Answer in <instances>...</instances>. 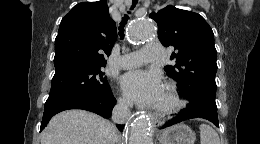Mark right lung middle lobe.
Masks as SVG:
<instances>
[{
	"label": "right lung middle lobe",
	"instance_id": "obj_1",
	"mask_svg": "<svg viewBox=\"0 0 260 144\" xmlns=\"http://www.w3.org/2000/svg\"><path fill=\"white\" fill-rule=\"evenodd\" d=\"M105 66L70 64L55 69L46 103L66 99H94L109 95L111 89L104 76Z\"/></svg>",
	"mask_w": 260,
	"mask_h": 144
}]
</instances>
